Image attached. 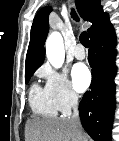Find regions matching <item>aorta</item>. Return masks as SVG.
Here are the masks:
<instances>
[{
  "mask_svg": "<svg viewBox=\"0 0 119 141\" xmlns=\"http://www.w3.org/2000/svg\"><path fill=\"white\" fill-rule=\"evenodd\" d=\"M46 56L50 64L60 68L65 59V50L62 36L58 32H52L46 41Z\"/></svg>",
  "mask_w": 119,
  "mask_h": 141,
  "instance_id": "762f6f07",
  "label": "aorta"
}]
</instances>
